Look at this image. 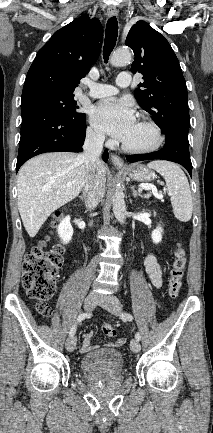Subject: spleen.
Returning a JSON list of instances; mask_svg holds the SVG:
<instances>
[{
  "label": "spleen",
  "instance_id": "3e777b00",
  "mask_svg": "<svg viewBox=\"0 0 213 433\" xmlns=\"http://www.w3.org/2000/svg\"><path fill=\"white\" fill-rule=\"evenodd\" d=\"M148 167L156 170L165 179L175 217L182 222H188L192 216L193 202L184 172L168 161H153Z\"/></svg>",
  "mask_w": 213,
  "mask_h": 433
}]
</instances>
